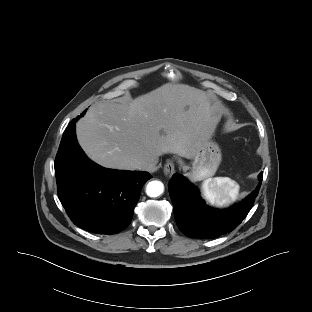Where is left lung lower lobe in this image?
Here are the masks:
<instances>
[{
  "mask_svg": "<svg viewBox=\"0 0 312 312\" xmlns=\"http://www.w3.org/2000/svg\"><path fill=\"white\" fill-rule=\"evenodd\" d=\"M259 174L257 188L247 198L227 209L209 207L200 197L198 189L176 173L169 182V193L174 216L180 231L188 237L216 238L235 229L252 208L262 183Z\"/></svg>",
  "mask_w": 312,
  "mask_h": 312,
  "instance_id": "0a47b994",
  "label": "left lung lower lobe"
}]
</instances>
